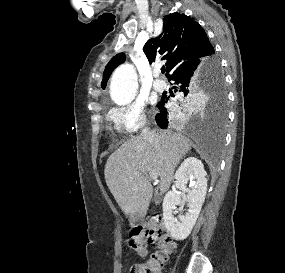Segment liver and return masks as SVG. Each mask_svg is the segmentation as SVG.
Wrapping results in <instances>:
<instances>
[{"mask_svg": "<svg viewBox=\"0 0 285 273\" xmlns=\"http://www.w3.org/2000/svg\"><path fill=\"white\" fill-rule=\"evenodd\" d=\"M191 141L180 133L158 131L155 136L133 137L112 153L105 165L106 184L134 228L136 216L145 215L153 188L148 172L156 171L165 193L175 168L191 150ZM132 179V180H131Z\"/></svg>", "mask_w": 285, "mask_h": 273, "instance_id": "obj_1", "label": "liver"}]
</instances>
